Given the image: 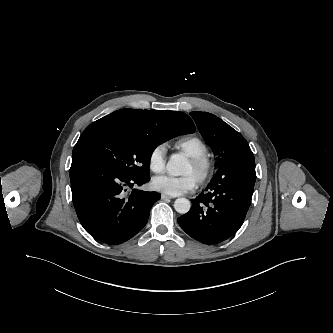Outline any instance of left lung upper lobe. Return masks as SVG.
Returning a JSON list of instances; mask_svg holds the SVG:
<instances>
[{"label":"left lung upper lobe","mask_w":333,"mask_h":333,"mask_svg":"<svg viewBox=\"0 0 333 333\" xmlns=\"http://www.w3.org/2000/svg\"><path fill=\"white\" fill-rule=\"evenodd\" d=\"M198 130L216 155L218 169L234 155L250 150L244 137L217 116L191 112Z\"/></svg>","instance_id":"1"}]
</instances>
